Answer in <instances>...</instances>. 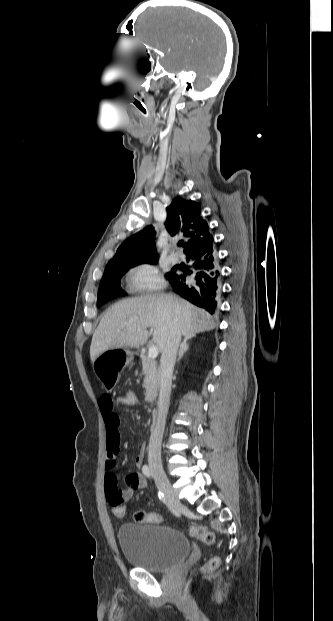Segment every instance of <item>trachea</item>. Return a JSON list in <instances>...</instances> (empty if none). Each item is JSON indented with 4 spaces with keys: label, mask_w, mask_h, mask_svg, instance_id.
Here are the masks:
<instances>
[{
    "label": "trachea",
    "mask_w": 333,
    "mask_h": 621,
    "mask_svg": "<svg viewBox=\"0 0 333 621\" xmlns=\"http://www.w3.org/2000/svg\"><path fill=\"white\" fill-rule=\"evenodd\" d=\"M182 245H183V243H179V244H178V246H182Z\"/></svg>",
    "instance_id": "3493384b"
}]
</instances>
